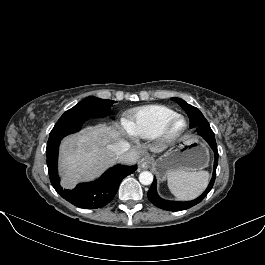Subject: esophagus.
<instances>
[{
    "label": "esophagus",
    "mask_w": 265,
    "mask_h": 265,
    "mask_svg": "<svg viewBox=\"0 0 265 265\" xmlns=\"http://www.w3.org/2000/svg\"><path fill=\"white\" fill-rule=\"evenodd\" d=\"M151 164H152L151 159L143 158L141 160V164H140L139 170L147 169V168L150 167Z\"/></svg>",
    "instance_id": "esophagus-1"
}]
</instances>
